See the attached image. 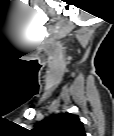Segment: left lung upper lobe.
Segmentation results:
<instances>
[{"instance_id":"1","label":"left lung upper lobe","mask_w":114,"mask_h":136,"mask_svg":"<svg viewBox=\"0 0 114 136\" xmlns=\"http://www.w3.org/2000/svg\"><path fill=\"white\" fill-rule=\"evenodd\" d=\"M33 132L43 136H83L84 127L78 115L66 112L42 121Z\"/></svg>"}]
</instances>
